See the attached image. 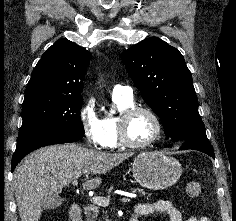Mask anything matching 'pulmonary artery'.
<instances>
[{
  "mask_svg": "<svg viewBox=\"0 0 236 221\" xmlns=\"http://www.w3.org/2000/svg\"><path fill=\"white\" fill-rule=\"evenodd\" d=\"M113 97L133 99V91L129 86L116 85L112 91Z\"/></svg>",
  "mask_w": 236,
  "mask_h": 221,
  "instance_id": "e3ab8cb5",
  "label": "pulmonary artery"
}]
</instances>
